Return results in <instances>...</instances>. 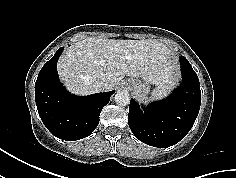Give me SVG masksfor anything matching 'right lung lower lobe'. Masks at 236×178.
<instances>
[{"label": "right lung lower lobe", "mask_w": 236, "mask_h": 178, "mask_svg": "<svg viewBox=\"0 0 236 178\" xmlns=\"http://www.w3.org/2000/svg\"><path fill=\"white\" fill-rule=\"evenodd\" d=\"M59 48L40 70L35 83V101L46 128L56 137L74 141L89 136L99 124V115L115 91L89 96H75L59 83L57 61Z\"/></svg>", "instance_id": "right-lung-lower-lobe-1"}]
</instances>
